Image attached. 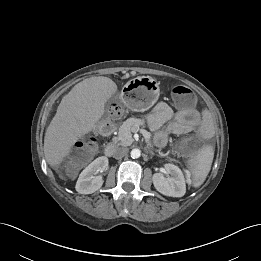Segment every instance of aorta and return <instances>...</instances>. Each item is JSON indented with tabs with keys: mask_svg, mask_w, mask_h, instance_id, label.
<instances>
[{
	"mask_svg": "<svg viewBox=\"0 0 261 261\" xmlns=\"http://www.w3.org/2000/svg\"><path fill=\"white\" fill-rule=\"evenodd\" d=\"M130 154L133 159L139 158L141 156V151L139 149H132Z\"/></svg>",
	"mask_w": 261,
	"mask_h": 261,
	"instance_id": "aorta-1",
	"label": "aorta"
}]
</instances>
